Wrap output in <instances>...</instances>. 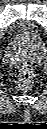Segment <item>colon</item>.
Masks as SVG:
<instances>
[{
	"instance_id": "colon-1",
	"label": "colon",
	"mask_w": 47,
	"mask_h": 129,
	"mask_svg": "<svg viewBox=\"0 0 47 129\" xmlns=\"http://www.w3.org/2000/svg\"><path fill=\"white\" fill-rule=\"evenodd\" d=\"M35 71L30 65L22 66L18 78H17V87L20 90L28 89L34 80Z\"/></svg>"
}]
</instances>
